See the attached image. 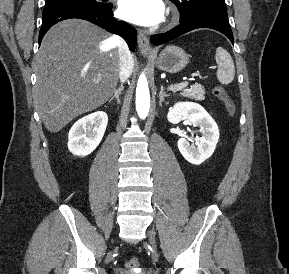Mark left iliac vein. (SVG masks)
Here are the masks:
<instances>
[{"label":"left iliac vein","instance_id":"4c4485c4","mask_svg":"<svg viewBox=\"0 0 289 274\" xmlns=\"http://www.w3.org/2000/svg\"><path fill=\"white\" fill-rule=\"evenodd\" d=\"M148 237H149V241L153 247L154 250H156V242H155V238L154 235L151 231H148Z\"/></svg>","mask_w":289,"mask_h":274}]
</instances>
